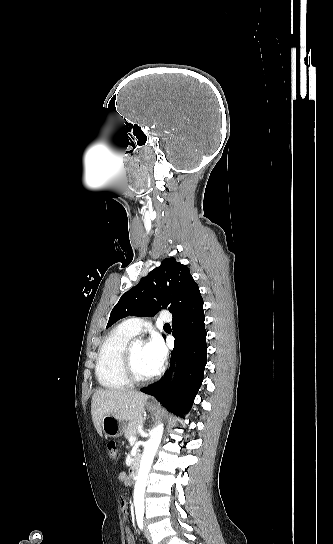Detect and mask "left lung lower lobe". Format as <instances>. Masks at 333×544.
<instances>
[{
	"mask_svg": "<svg viewBox=\"0 0 333 544\" xmlns=\"http://www.w3.org/2000/svg\"><path fill=\"white\" fill-rule=\"evenodd\" d=\"M175 347L171 352V366L159 381L141 389L154 396L170 411L182 416L187 412L202 384L207 363V344L203 299L172 314ZM177 362L175 379H169L174 362Z\"/></svg>",
	"mask_w": 333,
	"mask_h": 544,
	"instance_id": "1",
	"label": "left lung lower lobe"
}]
</instances>
